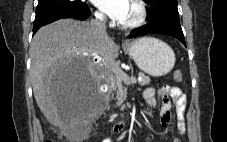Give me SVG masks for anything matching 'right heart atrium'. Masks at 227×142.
I'll return each instance as SVG.
<instances>
[{"label": "right heart atrium", "instance_id": "1", "mask_svg": "<svg viewBox=\"0 0 227 142\" xmlns=\"http://www.w3.org/2000/svg\"><path fill=\"white\" fill-rule=\"evenodd\" d=\"M94 16H95V18H96L97 20H99V21L104 20L103 14H102L101 12H99V11H96V12L94 13Z\"/></svg>", "mask_w": 227, "mask_h": 142}]
</instances>
